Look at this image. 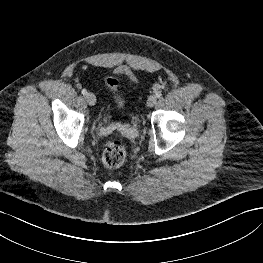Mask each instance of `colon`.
I'll list each match as a JSON object with an SVG mask.
<instances>
[{
	"label": "colon",
	"mask_w": 263,
	"mask_h": 263,
	"mask_svg": "<svg viewBox=\"0 0 263 263\" xmlns=\"http://www.w3.org/2000/svg\"><path fill=\"white\" fill-rule=\"evenodd\" d=\"M105 84L116 95L117 102L121 105L122 102L117 96L119 81L114 77H107ZM125 158L126 148L121 141H113L109 143L102 155V161L108 168H117L121 166L124 163Z\"/></svg>",
	"instance_id": "obj_1"
}]
</instances>
